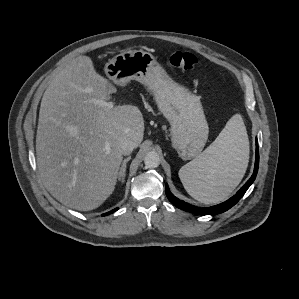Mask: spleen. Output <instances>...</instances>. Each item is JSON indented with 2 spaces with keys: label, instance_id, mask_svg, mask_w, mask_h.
Returning a JSON list of instances; mask_svg holds the SVG:
<instances>
[{
  "label": "spleen",
  "instance_id": "spleen-1",
  "mask_svg": "<svg viewBox=\"0 0 299 299\" xmlns=\"http://www.w3.org/2000/svg\"><path fill=\"white\" fill-rule=\"evenodd\" d=\"M249 159L247 131L241 115L226 123L215 141L179 170L190 196L205 203L224 201L241 182Z\"/></svg>",
  "mask_w": 299,
  "mask_h": 299
}]
</instances>
